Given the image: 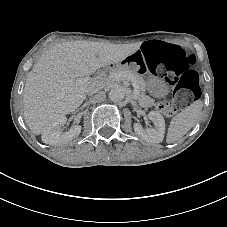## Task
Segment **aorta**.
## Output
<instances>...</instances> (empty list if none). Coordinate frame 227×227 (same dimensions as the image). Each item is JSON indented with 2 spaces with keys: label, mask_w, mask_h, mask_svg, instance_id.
Instances as JSON below:
<instances>
[{
  "label": "aorta",
  "mask_w": 227,
  "mask_h": 227,
  "mask_svg": "<svg viewBox=\"0 0 227 227\" xmlns=\"http://www.w3.org/2000/svg\"><path fill=\"white\" fill-rule=\"evenodd\" d=\"M125 97V88L122 86H115L109 92V98L113 102H118L123 100Z\"/></svg>",
  "instance_id": "aorta-1"
}]
</instances>
